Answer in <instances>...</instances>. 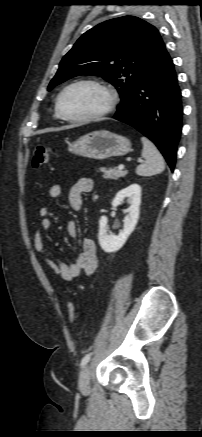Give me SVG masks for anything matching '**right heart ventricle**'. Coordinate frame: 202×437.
<instances>
[{"label":"right heart ventricle","mask_w":202,"mask_h":437,"mask_svg":"<svg viewBox=\"0 0 202 437\" xmlns=\"http://www.w3.org/2000/svg\"><path fill=\"white\" fill-rule=\"evenodd\" d=\"M55 116H56V117H59V115H58V113H57L56 109H55Z\"/></svg>","instance_id":"e07e8e85"}]
</instances>
